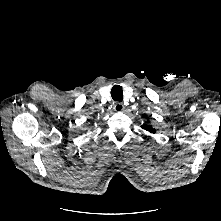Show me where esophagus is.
<instances>
[{"instance_id": "obj_1", "label": "esophagus", "mask_w": 221, "mask_h": 221, "mask_svg": "<svg viewBox=\"0 0 221 221\" xmlns=\"http://www.w3.org/2000/svg\"><path fill=\"white\" fill-rule=\"evenodd\" d=\"M113 109H114L115 112H122V111H124L125 107L122 103L117 102V103L114 104Z\"/></svg>"}]
</instances>
